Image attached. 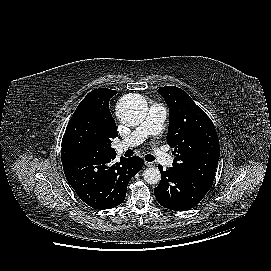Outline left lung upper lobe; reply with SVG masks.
<instances>
[{
	"mask_svg": "<svg viewBox=\"0 0 271 271\" xmlns=\"http://www.w3.org/2000/svg\"><path fill=\"white\" fill-rule=\"evenodd\" d=\"M170 113L167 143L174 148L173 166L212 186L220 156L213 122L182 89H158Z\"/></svg>",
	"mask_w": 271,
	"mask_h": 271,
	"instance_id": "obj_1",
	"label": "left lung upper lobe"
}]
</instances>
